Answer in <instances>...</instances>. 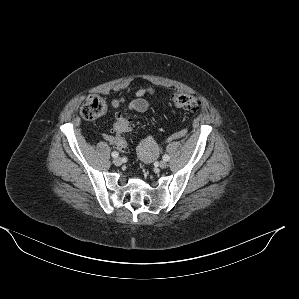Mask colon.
<instances>
[{
  "instance_id": "1",
  "label": "colon",
  "mask_w": 299,
  "mask_h": 299,
  "mask_svg": "<svg viewBox=\"0 0 299 299\" xmlns=\"http://www.w3.org/2000/svg\"><path fill=\"white\" fill-rule=\"evenodd\" d=\"M171 102L176 108L198 111L202 107L199 98L190 94L176 93L171 96ZM107 110V103L99 95H89L84 100L81 106V115L86 120H95L105 114ZM113 133L117 147L126 149V142L124 137L133 130V124L130 117L127 115H119L113 124Z\"/></svg>"
}]
</instances>
